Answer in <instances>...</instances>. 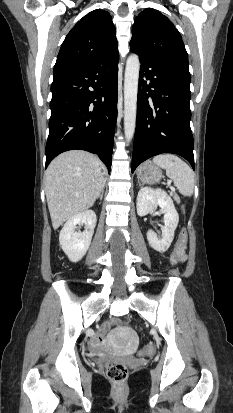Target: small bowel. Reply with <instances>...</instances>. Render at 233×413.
<instances>
[{
  "mask_svg": "<svg viewBox=\"0 0 233 413\" xmlns=\"http://www.w3.org/2000/svg\"><path fill=\"white\" fill-rule=\"evenodd\" d=\"M185 258H186V255H185V247H184L180 254V261H184ZM109 325L110 323L104 324L101 328V334L92 340L91 346L95 352H99L103 348L104 343L102 339V334L108 329Z\"/></svg>",
  "mask_w": 233,
  "mask_h": 413,
  "instance_id": "small-bowel-1",
  "label": "small bowel"
}]
</instances>
